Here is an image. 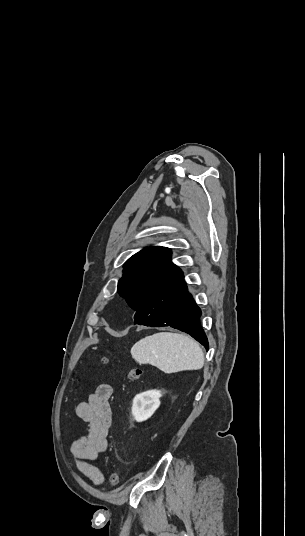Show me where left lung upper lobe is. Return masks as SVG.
<instances>
[{
	"instance_id": "obj_1",
	"label": "left lung upper lobe",
	"mask_w": 305,
	"mask_h": 536,
	"mask_svg": "<svg viewBox=\"0 0 305 536\" xmlns=\"http://www.w3.org/2000/svg\"><path fill=\"white\" fill-rule=\"evenodd\" d=\"M123 267L124 274L117 290L134 310L182 274V270L171 262V250L160 246L139 251Z\"/></svg>"
}]
</instances>
